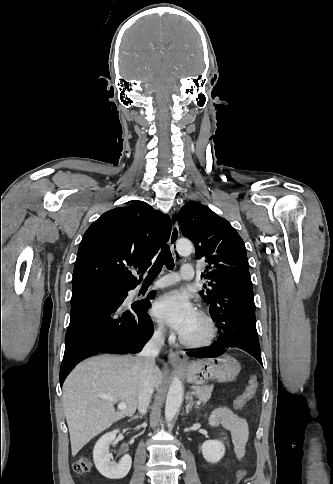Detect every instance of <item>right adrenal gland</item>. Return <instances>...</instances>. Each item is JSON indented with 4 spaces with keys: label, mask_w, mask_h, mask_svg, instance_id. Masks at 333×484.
<instances>
[{
    "label": "right adrenal gland",
    "mask_w": 333,
    "mask_h": 484,
    "mask_svg": "<svg viewBox=\"0 0 333 484\" xmlns=\"http://www.w3.org/2000/svg\"><path fill=\"white\" fill-rule=\"evenodd\" d=\"M139 418H142V416L135 415L134 417H132V419H139Z\"/></svg>",
    "instance_id": "2a0ac1e0"
}]
</instances>
